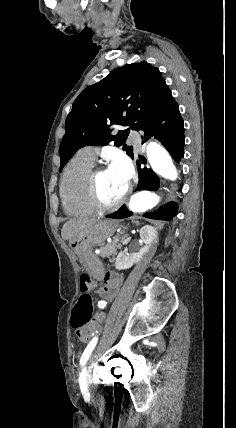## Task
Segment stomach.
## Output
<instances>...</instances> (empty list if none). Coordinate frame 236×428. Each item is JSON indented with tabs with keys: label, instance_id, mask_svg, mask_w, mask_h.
<instances>
[{
	"label": "stomach",
	"instance_id": "1",
	"mask_svg": "<svg viewBox=\"0 0 236 428\" xmlns=\"http://www.w3.org/2000/svg\"><path fill=\"white\" fill-rule=\"evenodd\" d=\"M114 234L112 224L107 220H97L93 226H88L82 234H79L75 240H70L69 246L80 258L83 269H90V275L93 281L101 282L105 263L100 262L98 256H94L93 246H102L107 238Z\"/></svg>",
	"mask_w": 236,
	"mask_h": 428
}]
</instances>
